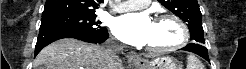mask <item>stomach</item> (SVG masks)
I'll use <instances>...</instances> for the list:
<instances>
[{
  "label": "stomach",
  "mask_w": 246,
  "mask_h": 69,
  "mask_svg": "<svg viewBox=\"0 0 246 69\" xmlns=\"http://www.w3.org/2000/svg\"><path fill=\"white\" fill-rule=\"evenodd\" d=\"M134 69H182L171 57H157L153 60H141L133 64Z\"/></svg>",
  "instance_id": "stomach-1"
}]
</instances>
